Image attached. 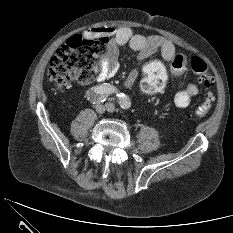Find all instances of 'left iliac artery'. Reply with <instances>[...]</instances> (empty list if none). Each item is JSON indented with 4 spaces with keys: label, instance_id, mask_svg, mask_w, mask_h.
Here are the masks:
<instances>
[{
    "label": "left iliac artery",
    "instance_id": "obj_1",
    "mask_svg": "<svg viewBox=\"0 0 233 233\" xmlns=\"http://www.w3.org/2000/svg\"><path fill=\"white\" fill-rule=\"evenodd\" d=\"M118 102L123 109H128L130 107L129 98L123 93H117Z\"/></svg>",
    "mask_w": 233,
    "mask_h": 233
}]
</instances>
